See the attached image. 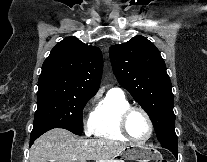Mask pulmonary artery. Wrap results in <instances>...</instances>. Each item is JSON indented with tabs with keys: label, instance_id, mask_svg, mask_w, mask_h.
<instances>
[{
	"label": "pulmonary artery",
	"instance_id": "obj_1",
	"mask_svg": "<svg viewBox=\"0 0 207 162\" xmlns=\"http://www.w3.org/2000/svg\"><path fill=\"white\" fill-rule=\"evenodd\" d=\"M112 90L117 91V92H122V89L120 87H114Z\"/></svg>",
	"mask_w": 207,
	"mask_h": 162
}]
</instances>
